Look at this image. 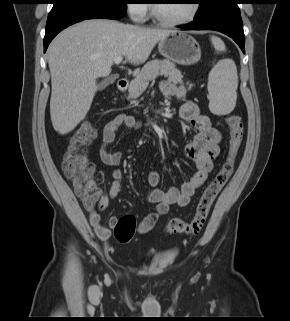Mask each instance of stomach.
<instances>
[{"mask_svg": "<svg viewBox=\"0 0 290 321\" xmlns=\"http://www.w3.org/2000/svg\"><path fill=\"white\" fill-rule=\"evenodd\" d=\"M159 53L166 59L184 66L197 63L201 58L198 42L188 33L173 31L158 43Z\"/></svg>", "mask_w": 290, "mask_h": 321, "instance_id": "obj_1", "label": "stomach"}]
</instances>
